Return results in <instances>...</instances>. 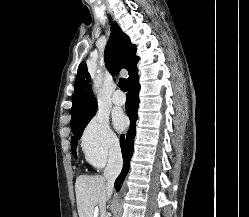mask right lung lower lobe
Listing matches in <instances>:
<instances>
[{
    "mask_svg": "<svg viewBox=\"0 0 249 217\" xmlns=\"http://www.w3.org/2000/svg\"><path fill=\"white\" fill-rule=\"evenodd\" d=\"M128 89H129V92L126 96L127 97L126 113L130 118V127L128 130V133L126 135H121V138H120V145H121L124 163H123V169L115 181V188L117 191H119L126 177V174L129 170L130 159L133 154L134 137L136 135L135 122L138 118L137 116V110H138V104H139L138 94L140 91L139 76L137 73L129 81Z\"/></svg>",
    "mask_w": 249,
    "mask_h": 217,
    "instance_id": "98d812e1",
    "label": "right lung lower lobe"
}]
</instances>
